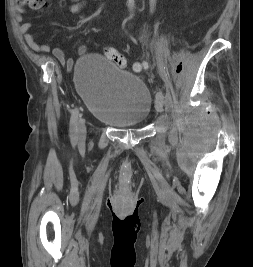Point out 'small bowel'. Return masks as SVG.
Masks as SVG:
<instances>
[{
	"mask_svg": "<svg viewBox=\"0 0 253 267\" xmlns=\"http://www.w3.org/2000/svg\"><path fill=\"white\" fill-rule=\"evenodd\" d=\"M73 3L69 6V10L73 14H77L82 11L85 6L86 0H72ZM156 0H150V11L153 12L155 8ZM31 24L29 22H23L20 25V31L24 34L25 41L27 45L34 51L40 53H46L50 51V47L47 44H38L30 32ZM87 52L86 45H80L78 47V54L84 55ZM52 53L54 57L61 62L62 64H66L67 60L64 55V52L60 48H53Z\"/></svg>",
	"mask_w": 253,
	"mask_h": 267,
	"instance_id": "1",
	"label": "small bowel"
}]
</instances>
